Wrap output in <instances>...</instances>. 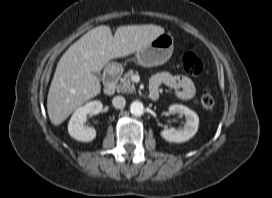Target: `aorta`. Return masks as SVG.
Listing matches in <instances>:
<instances>
[{
  "instance_id": "obj_1",
  "label": "aorta",
  "mask_w": 272,
  "mask_h": 198,
  "mask_svg": "<svg viewBox=\"0 0 272 198\" xmlns=\"http://www.w3.org/2000/svg\"><path fill=\"white\" fill-rule=\"evenodd\" d=\"M130 112L134 116H141L144 114V106L140 101H134L130 105Z\"/></svg>"
}]
</instances>
